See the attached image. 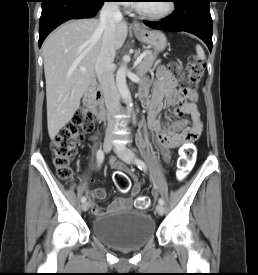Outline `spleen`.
<instances>
[{
  "label": "spleen",
  "mask_w": 258,
  "mask_h": 275,
  "mask_svg": "<svg viewBox=\"0 0 258 275\" xmlns=\"http://www.w3.org/2000/svg\"><path fill=\"white\" fill-rule=\"evenodd\" d=\"M196 52H197V56L200 59H203L205 54H204V50L200 45H196Z\"/></svg>",
  "instance_id": "1"
}]
</instances>
